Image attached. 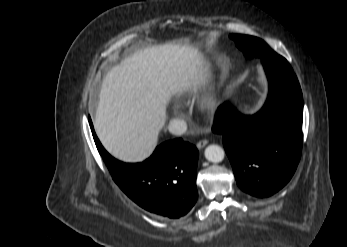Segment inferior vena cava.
Returning a JSON list of instances; mask_svg holds the SVG:
<instances>
[{"label":"inferior vena cava","mask_w":347,"mask_h":247,"mask_svg":"<svg viewBox=\"0 0 347 247\" xmlns=\"http://www.w3.org/2000/svg\"><path fill=\"white\" fill-rule=\"evenodd\" d=\"M168 130L173 135H182L187 131V124L183 119H172L169 122Z\"/></svg>","instance_id":"1"}]
</instances>
